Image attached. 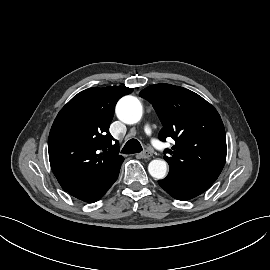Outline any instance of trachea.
<instances>
[{
	"label": "trachea",
	"instance_id": "3493384b",
	"mask_svg": "<svg viewBox=\"0 0 270 270\" xmlns=\"http://www.w3.org/2000/svg\"><path fill=\"white\" fill-rule=\"evenodd\" d=\"M142 151V146L137 139H130L127 141L125 146L122 149V153L124 154H134Z\"/></svg>",
	"mask_w": 270,
	"mask_h": 270
}]
</instances>
